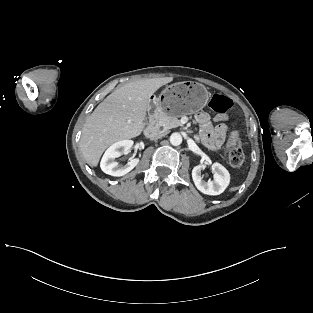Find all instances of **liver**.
<instances>
[{
  "label": "liver",
  "instance_id": "1",
  "mask_svg": "<svg viewBox=\"0 0 313 313\" xmlns=\"http://www.w3.org/2000/svg\"><path fill=\"white\" fill-rule=\"evenodd\" d=\"M172 80L162 77L127 83L95 108L83 126L80 139V150L91 167L98 165L108 146L142 133L151 96Z\"/></svg>",
  "mask_w": 313,
  "mask_h": 313
}]
</instances>
